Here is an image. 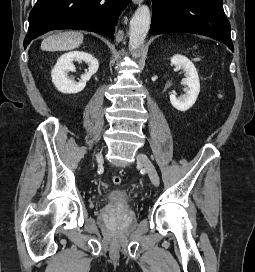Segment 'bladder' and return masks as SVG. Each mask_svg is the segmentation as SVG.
I'll use <instances>...</instances> for the list:
<instances>
[{
	"instance_id": "31cf9c89",
	"label": "bladder",
	"mask_w": 255,
	"mask_h": 272,
	"mask_svg": "<svg viewBox=\"0 0 255 272\" xmlns=\"http://www.w3.org/2000/svg\"><path fill=\"white\" fill-rule=\"evenodd\" d=\"M130 202V195L122 189H113L105 196L106 205L129 206Z\"/></svg>"
}]
</instances>
